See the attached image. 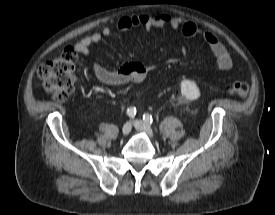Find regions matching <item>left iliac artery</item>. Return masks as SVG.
I'll use <instances>...</instances> for the list:
<instances>
[{
    "label": "left iliac artery",
    "instance_id": "44dca946",
    "mask_svg": "<svg viewBox=\"0 0 275 215\" xmlns=\"http://www.w3.org/2000/svg\"><path fill=\"white\" fill-rule=\"evenodd\" d=\"M143 120L145 121V123H147L148 125H151L153 122V118L150 114H144L143 115Z\"/></svg>",
    "mask_w": 275,
    "mask_h": 215
}]
</instances>
